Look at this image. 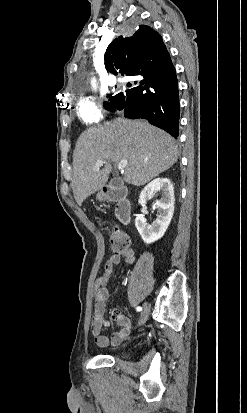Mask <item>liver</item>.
Returning <instances> with one entry per match:
<instances>
[{
	"label": "liver",
	"instance_id": "obj_1",
	"mask_svg": "<svg viewBox=\"0 0 247 413\" xmlns=\"http://www.w3.org/2000/svg\"><path fill=\"white\" fill-rule=\"evenodd\" d=\"M104 158V166H95ZM178 158L174 138L148 120L113 118L81 132L73 152L72 188L81 207L87 196L105 186L111 162L128 160L124 178L129 184H146L170 168Z\"/></svg>",
	"mask_w": 247,
	"mask_h": 413
}]
</instances>
